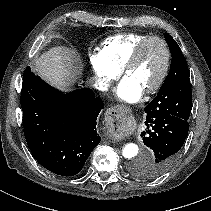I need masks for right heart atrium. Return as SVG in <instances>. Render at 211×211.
<instances>
[{
    "label": "right heart atrium",
    "instance_id": "d8ad5b80",
    "mask_svg": "<svg viewBox=\"0 0 211 211\" xmlns=\"http://www.w3.org/2000/svg\"><path fill=\"white\" fill-rule=\"evenodd\" d=\"M88 56L96 82L102 89H107L118 78L121 69L110 64L99 50L90 51Z\"/></svg>",
    "mask_w": 211,
    "mask_h": 211
}]
</instances>
